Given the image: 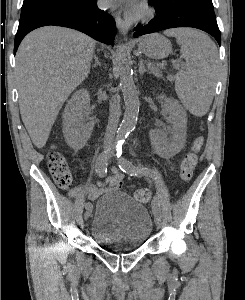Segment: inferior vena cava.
I'll return each mask as SVG.
<instances>
[{
	"label": "inferior vena cava",
	"mask_w": 245,
	"mask_h": 300,
	"mask_svg": "<svg viewBox=\"0 0 245 300\" xmlns=\"http://www.w3.org/2000/svg\"><path fill=\"white\" fill-rule=\"evenodd\" d=\"M109 106V121L104 137V148H109L113 146L114 136L117 129V125L120 117V96L115 93L111 100Z\"/></svg>",
	"instance_id": "1"
}]
</instances>
